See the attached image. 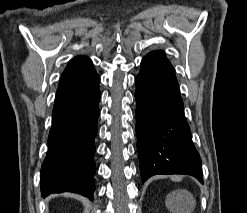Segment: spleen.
Wrapping results in <instances>:
<instances>
[{"instance_id":"3e777b00","label":"spleen","mask_w":247,"mask_h":213,"mask_svg":"<svg viewBox=\"0 0 247 213\" xmlns=\"http://www.w3.org/2000/svg\"><path fill=\"white\" fill-rule=\"evenodd\" d=\"M172 180L174 181H180L181 178L178 177V176H173L171 177ZM187 198L186 197H183V196H171L170 197V201H169V206H170V209L172 210L173 213H182L180 212L179 210V207L180 206H184L185 204H188L186 203L187 202ZM194 207V202L190 203L189 207L186 209V213H190V211L193 209Z\"/></svg>"}]
</instances>
